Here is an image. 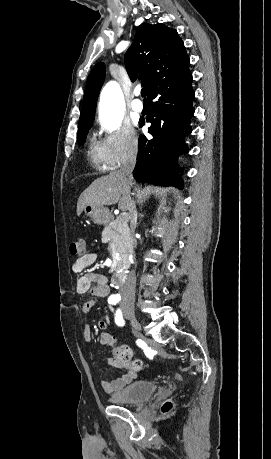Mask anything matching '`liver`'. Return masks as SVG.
I'll list each match as a JSON object with an SVG mask.
<instances>
[{"instance_id":"liver-1","label":"liver","mask_w":271,"mask_h":459,"mask_svg":"<svg viewBox=\"0 0 271 459\" xmlns=\"http://www.w3.org/2000/svg\"><path fill=\"white\" fill-rule=\"evenodd\" d=\"M131 180L121 172H110L92 182L91 186L82 192L77 202V216L83 212L84 206L99 204V206H112L118 204L119 210H131L130 198ZM122 194V198H121Z\"/></svg>"}]
</instances>
